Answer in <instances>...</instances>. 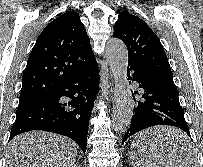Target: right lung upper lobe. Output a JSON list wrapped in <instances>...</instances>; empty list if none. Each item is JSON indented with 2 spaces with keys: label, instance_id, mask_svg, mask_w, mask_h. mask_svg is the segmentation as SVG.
<instances>
[{
  "label": "right lung upper lobe",
  "instance_id": "obj_1",
  "mask_svg": "<svg viewBox=\"0 0 203 167\" xmlns=\"http://www.w3.org/2000/svg\"><path fill=\"white\" fill-rule=\"evenodd\" d=\"M95 61L79 15L68 11L37 38L22 76L20 107L48 99L69 77Z\"/></svg>",
  "mask_w": 203,
  "mask_h": 167
}]
</instances>
